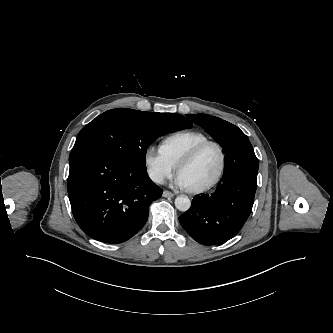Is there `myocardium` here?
<instances>
[{
    "label": "myocardium",
    "mask_w": 333,
    "mask_h": 333,
    "mask_svg": "<svg viewBox=\"0 0 333 333\" xmlns=\"http://www.w3.org/2000/svg\"><path fill=\"white\" fill-rule=\"evenodd\" d=\"M208 147H215L219 153L220 161H219V166H218L217 172L214 175V177L208 183L204 184L203 186H200L197 188H187V191L190 193L200 194V193H204V192L210 190L217 184V182L220 180V178L224 172L225 162H226L225 152L219 143L209 140V141H206V142H203V143L197 145L179 162V164L177 165L178 175L184 167L191 164L200 155V153Z\"/></svg>",
    "instance_id": "obj_1"
}]
</instances>
